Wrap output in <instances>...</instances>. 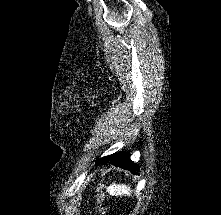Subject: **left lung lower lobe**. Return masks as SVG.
Segmentation results:
<instances>
[{
    "label": "left lung lower lobe",
    "mask_w": 221,
    "mask_h": 215,
    "mask_svg": "<svg viewBox=\"0 0 221 215\" xmlns=\"http://www.w3.org/2000/svg\"><path fill=\"white\" fill-rule=\"evenodd\" d=\"M111 162L116 167H121L123 169L132 171L134 174H138V165L134 164L127 152L115 153L104 158L99 159L96 164H107Z\"/></svg>",
    "instance_id": "1"
}]
</instances>
